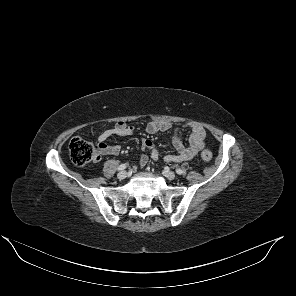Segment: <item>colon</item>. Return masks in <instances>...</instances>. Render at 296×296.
I'll use <instances>...</instances> for the list:
<instances>
[{"instance_id": "colon-1", "label": "colon", "mask_w": 296, "mask_h": 296, "mask_svg": "<svg viewBox=\"0 0 296 296\" xmlns=\"http://www.w3.org/2000/svg\"><path fill=\"white\" fill-rule=\"evenodd\" d=\"M68 148L71 161L77 166H84L99 156L95 145L79 137L72 138ZM201 158L209 162L212 159V153L204 150L201 153Z\"/></svg>"}]
</instances>
